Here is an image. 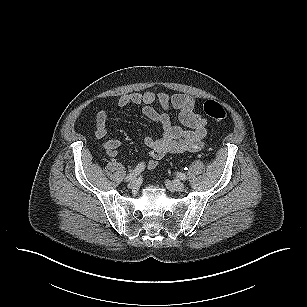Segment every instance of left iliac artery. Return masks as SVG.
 Masks as SVG:
<instances>
[{"label":"left iliac artery","mask_w":307,"mask_h":307,"mask_svg":"<svg viewBox=\"0 0 307 307\" xmlns=\"http://www.w3.org/2000/svg\"><path fill=\"white\" fill-rule=\"evenodd\" d=\"M177 177L180 178L181 180H186V178H187L186 175L184 173H181V172L177 173Z\"/></svg>","instance_id":"obj_1"}]
</instances>
